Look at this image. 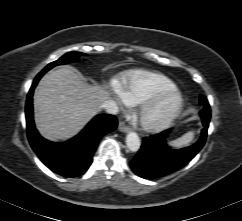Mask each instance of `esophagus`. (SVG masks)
Masks as SVG:
<instances>
[{"instance_id":"1","label":"esophagus","mask_w":242,"mask_h":221,"mask_svg":"<svg viewBox=\"0 0 242 221\" xmlns=\"http://www.w3.org/2000/svg\"><path fill=\"white\" fill-rule=\"evenodd\" d=\"M118 129L121 131V132H124V133H127L128 131H130V127L127 126L125 124V122H120L119 125H118Z\"/></svg>"}]
</instances>
